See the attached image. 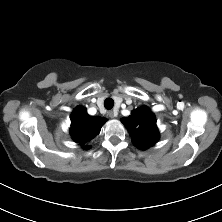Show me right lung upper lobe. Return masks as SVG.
Masks as SVG:
<instances>
[{"label":"right lung upper lobe","instance_id":"obj_1","mask_svg":"<svg viewBox=\"0 0 222 222\" xmlns=\"http://www.w3.org/2000/svg\"><path fill=\"white\" fill-rule=\"evenodd\" d=\"M106 121L107 119L103 117L88 115L84 107L78 106L71 115L70 134L75 142L84 146L88 141L99 134L102 125ZM89 148L90 146L88 145L84 147V149Z\"/></svg>","mask_w":222,"mask_h":222}]
</instances>
